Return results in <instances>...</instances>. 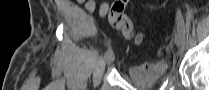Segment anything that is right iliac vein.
Masks as SVG:
<instances>
[{
    "mask_svg": "<svg viewBox=\"0 0 209 90\" xmlns=\"http://www.w3.org/2000/svg\"><path fill=\"white\" fill-rule=\"evenodd\" d=\"M115 59V55L112 53L109 57L106 58V63H111Z\"/></svg>",
    "mask_w": 209,
    "mask_h": 90,
    "instance_id": "right-iliac-vein-1",
    "label": "right iliac vein"
}]
</instances>
